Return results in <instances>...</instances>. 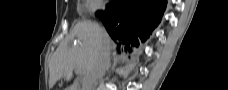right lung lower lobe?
<instances>
[{
	"label": "right lung lower lobe",
	"instance_id": "1",
	"mask_svg": "<svg viewBox=\"0 0 228 90\" xmlns=\"http://www.w3.org/2000/svg\"><path fill=\"white\" fill-rule=\"evenodd\" d=\"M166 0H112L105 12L96 15L117 43V49L131 53L159 24Z\"/></svg>",
	"mask_w": 228,
	"mask_h": 90
}]
</instances>
